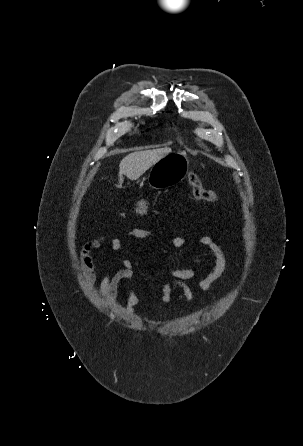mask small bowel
<instances>
[{
	"instance_id": "c3829d8e",
	"label": "small bowel",
	"mask_w": 303,
	"mask_h": 446,
	"mask_svg": "<svg viewBox=\"0 0 303 446\" xmlns=\"http://www.w3.org/2000/svg\"><path fill=\"white\" fill-rule=\"evenodd\" d=\"M158 234L157 231L143 228H134L127 232V237L135 241H143L152 238ZM105 237L94 238L87 241L80 251V262L83 272L86 276L89 286L96 282L95 262L92 253L99 249ZM186 244L185 238L181 236L174 237L171 246L174 251H180ZM128 243L122 239L114 238L111 241V248L114 251H122L128 247ZM198 247L200 249H208L215 256V263L210 272L201 280L200 287L203 290H212L215 285L223 281L226 270V253L221 245H219L212 237L202 236L198 239ZM120 269L115 272L106 274L100 283V295L110 305L114 304L117 299L118 288L123 281L130 284L127 296L125 311L128 315L135 313V308L139 303L138 295L133 286L134 264L129 259H121L117 262ZM195 274L193 267L172 268L170 272L162 273V302L164 305L170 303L173 288L182 291L186 302L189 304L193 300V292L187 285L186 281L191 279Z\"/></svg>"
}]
</instances>
